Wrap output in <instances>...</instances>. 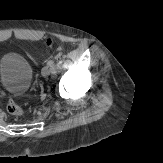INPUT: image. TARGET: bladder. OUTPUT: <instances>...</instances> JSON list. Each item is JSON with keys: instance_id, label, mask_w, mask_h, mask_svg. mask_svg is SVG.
<instances>
[{"instance_id": "31cf9c89", "label": "bladder", "mask_w": 163, "mask_h": 163, "mask_svg": "<svg viewBox=\"0 0 163 163\" xmlns=\"http://www.w3.org/2000/svg\"><path fill=\"white\" fill-rule=\"evenodd\" d=\"M32 77V66L20 54L9 52L0 57V85L9 94L24 95Z\"/></svg>"}]
</instances>
